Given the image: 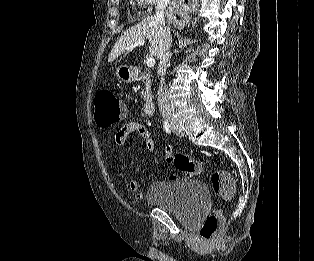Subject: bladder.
I'll return each mask as SVG.
<instances>
[{"mask_svg": "<svg viewBox=\"0 0 314 261\" xmlns=\"http://www.w3.org/2000/svg\"><path fill=\"white\" fill-rule=\"evenodd\" d=\"M146 200L184 223L192 224L208 207V190L196 179L157 181L150 185Z\"/></svg>", "mask_w": 314, "mask_h": 261, "instance_id": "bladder-1", "label": "bladder"}]
</instances>
